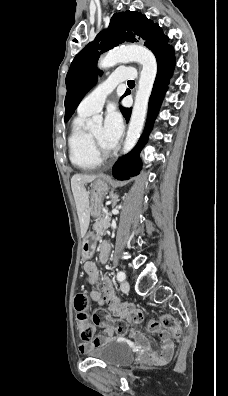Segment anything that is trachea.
Segmentation results:
<instances>
[{"label":"trachea","mask_w":228,"mask_h":396,"mask_svg":"<svg viewBox=\"0 0 228 396\" xmlns=\"http://www.w3.org/2000/svg\"><path fill=\"white\" fill-rule=\"evenodd\" d=\"M128 83H134V81L133 80H129Z\"/></svg>","instance_id":"trachea-1"}]
</instances>
